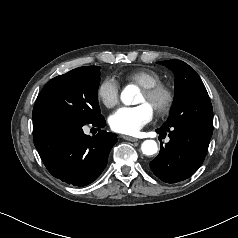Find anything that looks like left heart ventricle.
Returning a JSON list of instances; mask_svg holds the SVG:
<instances>
[{"mask_svg":"<svg viewBox=\"0 0 238 238\" xmlns=\"http://www.w3.org/2000/svg\"><path fill=\"white\" fill-rule=\"evenodd\" d=\"M139 102H146V103L150 104L143 92H141V96H140Z\"/></svg>","mask_w":238,"mask_h":238,"instance_id":"1","label":"left heart ventricle"}]
</instances>
